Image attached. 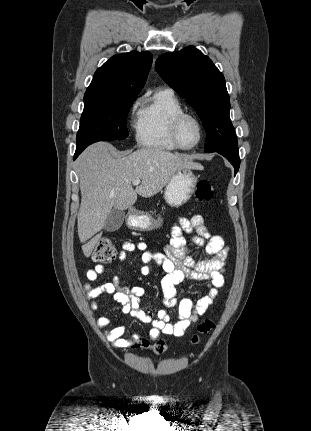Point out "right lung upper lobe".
Listing matches in <instances>:
<instances>
[{"mask_svg":"<svg viewBox=\"0 0 311 431\" xmlns=\"http://www.w3.org/2000/svg\"><path fill=\"white\" fill-rule=\"evenodd\" d=\"M151 64L152 54L148 51L115 55L97 69L85 93L137 96Z\"/></svg>","mask_w":311,"mask_h":431,"instance_id":"right-lung-upper-lobe-1","label":"right lung upper lobe"}]
</instances>
